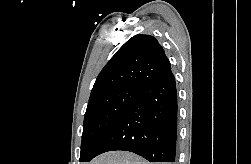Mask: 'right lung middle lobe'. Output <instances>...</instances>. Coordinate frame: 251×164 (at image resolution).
<instances>
[{
	"mask_svg": "<svg viewBox=\"0 0 251 164\" xmlns=\"http://www.w3.org/2000/svg\"><path fill=\"white\" fill-rule=\"evenodd\" d=\"M140 89L122 87L89 100L84 117L80 162H85L100 138L138 98Z\"/></svg>",
	"mask_w": 251,
	"mask_h": 164,
	"instance_id": "1",
	"label": "right lung middle lobe"
}]
</instances>
